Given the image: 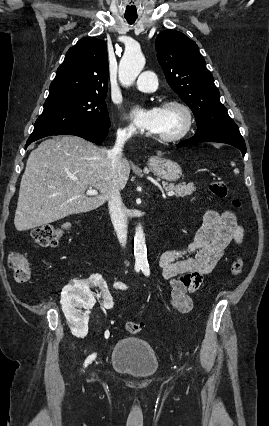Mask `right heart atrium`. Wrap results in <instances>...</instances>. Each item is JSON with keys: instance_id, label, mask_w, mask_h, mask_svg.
Listing matches in <instances>:
<instances>
[{"instance_id": "right-heart-atrium-1", "label": "right heart atrium", "mask_w": 269, "mask_h": 426, "mask_svg": "<svg viewBox=\"0 0 269 426\" xmlns=\"http://www.w3.org/2000/svg\"><path fill=\"white\" fill-rule=\"evenodd\" d=\"M118 131L121 135L124 136H131L135 133V129L132 125H121Z\"/></svg>"}]
</instances>
